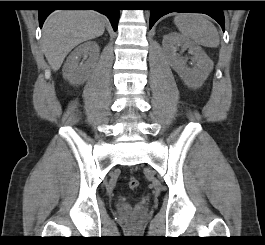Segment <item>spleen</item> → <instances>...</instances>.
<instances>
[{
	"instance_id": "1",
	"label": "spleen",
	"mask_w": 265,
	"mask_h": 245,
	"mask_svg": "<svg viewBox=\"0 0 265 245\" xmlns=\"http://www.w3.org/2000/svg\"><path fill=\"white\" fill-rule=\"evenodd\" d=\"M174 23L183 37L195 43L215 48L219 46L220 39L216 27L200 14H177Z\"/></svg>"
}]
</instances>
